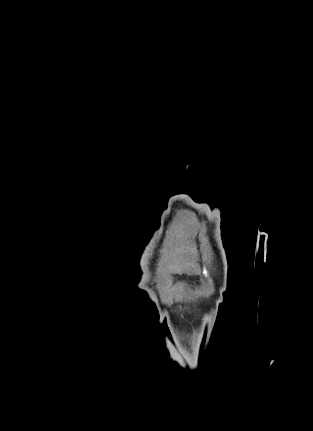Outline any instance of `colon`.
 <instances>
[{"instance_id": "5ec220e1", "label": "colon", "mask_w": 313, "mask_h": 431, "mask_svg": "<svg viewBox=\"0 0 313 431\" xmlns=\"http://www.w3.org/2000/svg\"><path fill=\"white\" fill-rule=\"evenodd\" d=\"M236 115H231V117H235Z\"/></svg>"}]
</instances>
